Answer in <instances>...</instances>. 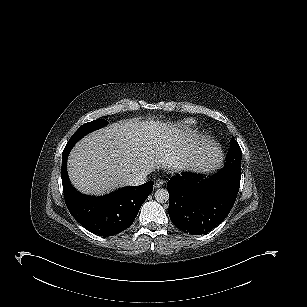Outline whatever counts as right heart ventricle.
Listing matches in <instances>:
<instances>
[{
    "label": "right heart ventricle",
    "instance_id": "right-heart-ventricle-1",
    "mask_svg": "<svg viewBox=\"0 0 307 307\" xmlns=\"http://www.w3.org/2000/svg\"><path fill=\"white\" fill-rule=\"evenodd\" d=\"M164 132L169 136V134H171V132H172V126H170V125L166 126Z\"/></svg>",
    "mask_w": 307,
    "mask_h": 307
}]
</instances>
